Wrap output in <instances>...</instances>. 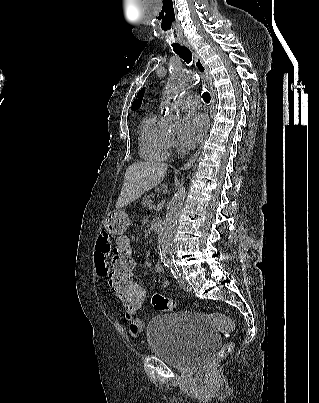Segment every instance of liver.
<instances>
[{
    "mask_svg": "<svg viewBox=\"0 0 319 403\" xmlns=\"http://www.w3.org/2000/svg\"><path fill=\"white\" fill-rule=\"evenodd\" d=\"M166 171L167 165L164 163L141 161L131 164L126 170L116 208L129 205L154 188L163 180Z\"/></svg>",
    "mask_w": 319,
    "mask_h": 403,
    "instance_id": "6515ba94",
    "label": "liver"
}]
</instances>
